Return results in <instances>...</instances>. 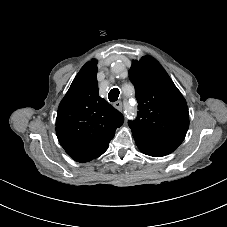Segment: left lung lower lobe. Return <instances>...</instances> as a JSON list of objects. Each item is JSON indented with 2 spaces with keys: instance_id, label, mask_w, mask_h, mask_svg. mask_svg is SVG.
<instances>
[{
  "instance_id": "1",
  "label": "left lung lower lobe",
  "mask_w": 227,
  "mask_h": 227,
  "mask_svg": "<svg viewBox=\"0 0 227 227\" xmlns=\"http://www.w3.org/2000/svg\"><path fill=\"white\" fill-rule=\"evenodd\" d=\"M132 133L139 150L149 156H165L172 153L179 146L145 128L133 127Z\"/></svg>"
}]
</instances>
